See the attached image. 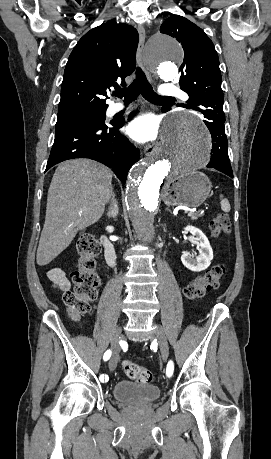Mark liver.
<instances>
[{"label":"liver","instance_id":"liver-1","mask_svg":"<svg viewBox=\"0 0 271 459\" xmlns=\"http://www.w3.org/2000/svg\"><path fill=\"white\" fill-rule=\"evenodd\" d=\"M112 176L109 168L86 158L59 164L48 190L45 224L36 253L38 265L50 263L79 229L100 220L112 194Z\"/></svg>","mask_w":271,"mask_h":459}]
</instances>
